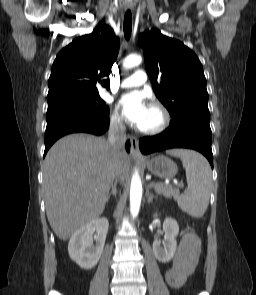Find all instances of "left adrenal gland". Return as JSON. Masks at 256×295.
I'll list each match as a JSON object with an SVG mask.
<instances>
[{"instance_id":"obj_1","label":"left adrenal gland","mask_w":256,"mask_h":295,"mask_svg":"<svg viewBox=\"0 0 256 295\" xmlns=\"http://www.w3.org/2000/svg\"><path fill=\"white\" fill-rule=\"evenodd\" d=\"M149 188L150 187L148 186L146 189V197H147L148 204H150L153 201V199H156V197L153 196V194L150 192Z\"/></svg>"}]
</instances>
